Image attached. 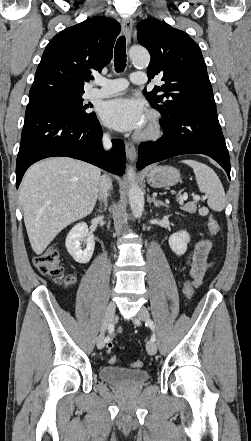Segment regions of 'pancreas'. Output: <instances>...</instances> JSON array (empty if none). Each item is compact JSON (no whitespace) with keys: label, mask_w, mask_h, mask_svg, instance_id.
I'll return each mask as SVG.
<instances>
[{"label":"pancreas","mask_w":251,"mask_h":441,"mask_svg":"<svg viewBox=\"0 0 251 441\" xmlns=\"http://www.w3.org/2000/svg\"><path fill=\"white\" fill-rule=\"evenodd\" d=\"M182 210L189 212V213H195L197 210L196 202H188L183 207Z\"/></svg>","instance_id":"cf45deb5"}]
</instances>
